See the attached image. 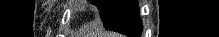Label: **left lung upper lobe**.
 I'll return each instance as SVG.
<instances>
[{
    "label": "left lung upper lobe",
    "instance_id": "obj_1",
    "mask_svg": "<svg viewBox=\"0 0 219 37\" xmlns=\"http://www.w3.org/2000/svg\"><path fill=\"white\" fill-rule=\"evenodd\" d=\"M124 0H91L98 7L103 26L106 28Z\"/></svg>",
    "mask_w": 219,
    "mask_h": 37
}]
</instances>
